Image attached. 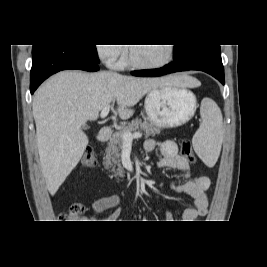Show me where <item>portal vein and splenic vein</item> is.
I'll return each instance as SVG.
<instances>
[{
	"instance_id": "obj_1",
	"label": "portal vein and splenic vein",
	"mask_w": 267,
	"mask_h": 267,
	"mask_svg": "<svg viewBox=\"0 0 267 267\" xmlns=\"http://www.w3.org/2000/svg\"><path fill=\"white\" fill-rule=\"evenodd\" d=\"M109 111H110V106L104 107L101 111V118H105L108 115ZM141 137H142L141 133L132 134V133L126 132L123 134V141L124 143H131L133 139H138Z\"/></svg>"
}]
</instances>
